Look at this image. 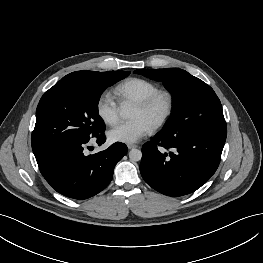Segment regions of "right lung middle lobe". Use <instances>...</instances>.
Masks as SVG:
<instances>
[{
  "label": "right lung middle lobe",
  "instance_id": "right-lung-middle-lobe-1",
  "mask_svg": "<svg viewBox=\"0 0 263 263\" xmlns=\"http://www.w3.org/2000/svg\"><path fill=\"white\" fill-rule=\"evenodd\" d=\"M128 71H90L80 79H61L42 96L31 137L34 154L60 142L89 139L104 132L98 115L102 92Z\"/></svg>",
  "mask_w": 263,
  "mask_h": 263
}]
</instances>
